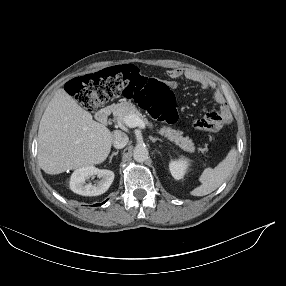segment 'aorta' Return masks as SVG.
Here are the masks:
<instances>
[{"instance_id":"1","label":"aorta","mask_w":286,"mask_h":286,"mask_svg":"<svg viewBox=\"0 0 286 286\" xmlns=\"http://www.w3.org/2000/svg\"><path fill=\"white\" fill-rule=\"evenodd\" d=\"M148 154L147 147L139 145L134 148L133 158L137 162H143L148 158Z\"/></svg>"}]
</instances>
